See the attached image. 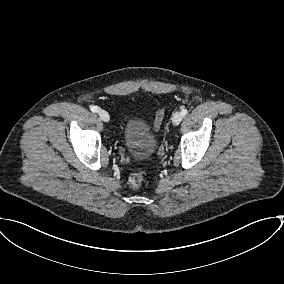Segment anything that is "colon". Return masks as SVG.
I'll return each instance as SVG.
<instances>
[{"label": "colon", "instance_id": "1", "mask_svg": "<svg viewBox=\"0 0 284 284\" xmlns=\"http://www.w3.org/2000/svg\"><path fill=\"white\" fill-rule=\"evenodd\" d=\"M163 115H164V112H163V109H159L157 112H156V115H155V120H154V126L156 129L159 128L161 122H162V119H163ZM143 174L140 173V172H137V173H133L130 177H129V183L132 187L134 188H138L142 185L143 183Z\"/></svg>", "mask_w": 284, "mask_h": 284}]
</instances>
